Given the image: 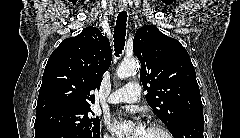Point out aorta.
<instances>
[{
	"instance_id": "aorta-1",
	"label": "aorta",
	"mask_w": 240,
	"mask_h": 138,
	"mask_svg": "<svg viewBox=\"0 0 240 138\" xmlns=\"http://www.w3.org/2000/svg\"><path fill=\"white\" fill-rule=\"evenodd\" d=\"M139 68V62L135 59L123 60L118 66L116 74L120 79L131 76Z\"/></svg>"
}]
</instances>
